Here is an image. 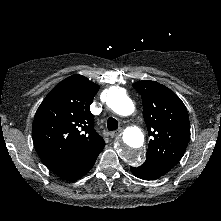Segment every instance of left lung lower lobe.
<instances>
[{"label":"left lung lower lobe","mask_w":221,"mask_h":221,"mask_svg":"<svg viewBox=\"0 0 221 221\" xmlns=\"http://www.w3.org/2000/svg\"><path fill=\"white\" fill-rule=\"evenodd\" d=\"M130 169L136 177L144 180H154L164 175L149 162H144L139 167H130Z\"/></svg>","instance_id":"obj_1"}]
</instances>
